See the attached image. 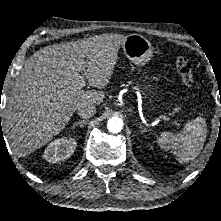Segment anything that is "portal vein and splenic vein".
I'll return each instance as SVG.
<instances>
[{"label": "portal vein and splenic vein", "instance_id": "portal-vein-and-splenic-vein-1", "mask_svg": "<svg viewBox=\"0 0 221 221\" xmlns=\"http://www.w3.org/2000/svg\"><path fill=\"white\" fill-rule=\"evenodd\" d=\"M82 63L85 64L86 62L84 60H82ZM85 72L83 73V76H82V79H81V82L79 83V87L82 89L83 87H85L86 85V81L84 79V76H85ZM163 120H166V121H171V118L167 117V116H164V115H161L160 116Z\"/></svg>", "mask_w": 221, "mask_h": 221}]
</instances>
